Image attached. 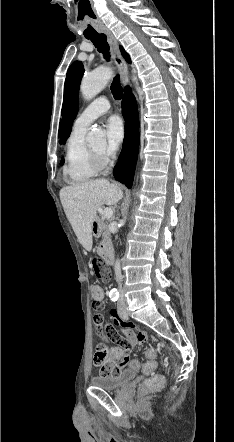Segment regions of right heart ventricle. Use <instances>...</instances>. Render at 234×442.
Returning a JSON list of instances; mask_svg holds the SVG:
<instances>
[{
    "mask_svg": "<svg viewBox=\"0 0 234 442\" xmlns=\"http://www.w3.org/2000/svg\"><path fill=\"white\" fill-rule=\"evenodd\" d=\"M85 133L86 129L74 126L67 141L63 173L70 183L87 182L98 173L91 160L90 150L85 141Z\"/></svg>",
    "mask_w": 234,
    "mask_h": 442,
    "instance_id": "right-heart-ventricle-1",
    "label": "right heart ventricle"
}]
</instances>
